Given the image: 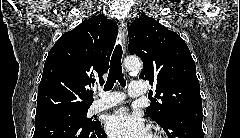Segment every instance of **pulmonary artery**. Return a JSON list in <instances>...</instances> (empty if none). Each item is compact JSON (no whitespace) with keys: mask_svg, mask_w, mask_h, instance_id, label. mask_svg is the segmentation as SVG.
<instances>
[{"mask_svg":"<svg viewBox=\"0 0 240 138\" xmlns=\"http://www.w3.org/2000/svg\"><path fill=\"white\" fill-rule=\"evenodd\" d=\"M146 94V88L143 82L132 81L129 87V95L132 97H142ZM97 96L100 99L93 102L91 109L93 112H100L114 106H117L123 101V94L117 92H103L99 90Z\"/></svg>","mask_w":240,"mask_h":138,"instance_id":"pulmonary-artery-1","label":"pulmonary artery"}]
</instances>
